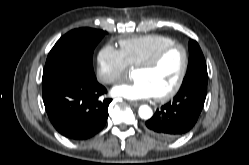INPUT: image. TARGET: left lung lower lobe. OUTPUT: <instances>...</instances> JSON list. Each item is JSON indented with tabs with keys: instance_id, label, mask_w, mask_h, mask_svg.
Instances as JSON below:
<instances>
[{
	"instance_id": "obj_1",
	"label": "left lung lower lobe",
	"mask_w": 249,
	"mask_h": 165,
	"mask_svg": "<svg viewBox=\"0 0 249 165\" xmlns=\"http://www.w3.org/2000/svg\"><path fill=\"white\" fill-rule=\"evenodd\" d=\"M207 83L195 81L180 88L173 101L163 105L146 121L155 136L171 140L187 133L196 123L203 108Z\"/></svg>"
}]
</instances>
